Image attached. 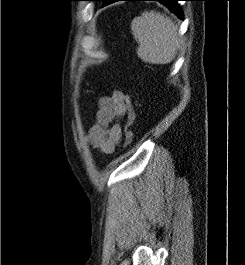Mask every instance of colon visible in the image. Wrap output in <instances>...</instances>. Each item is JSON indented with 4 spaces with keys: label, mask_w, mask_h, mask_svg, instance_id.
<instances>
[{
    "label": "colon",
    "mask_w": 245,
    "mask_h": 265,
    "mask_svg": "<svg viewBox=\"0 0 245 265\" xmlns=\"http://www.w3.org/2000/svg\"><path fill=\"white\" fill-rule=\"evenodd\" d=\"M124 102L128 107V119L126 124L123 126V137H124V146L128 147L132 144L134 139V134L130 129L132 122L134 121L135 113L132 105L131 97L127 94L124 95Z\"/></svg>",
    "instance_id": "colon-1"
}]
</instances>
